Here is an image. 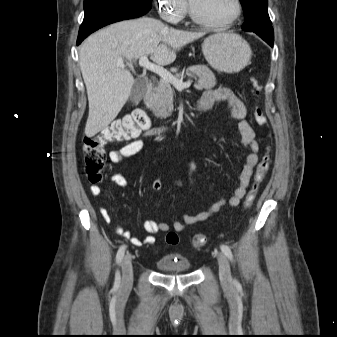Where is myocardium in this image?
Returning a JSON list of instances; mask_svg holds the SVG:
<instances>
[{
  "mask_svg": "<svg viewBox=\"0 0 337 337\" xmlns=\"http://www.w3.org/2000/svg\"><path fill=\"white\" fill-rule=\"evenodd\" d=\"M233 4H234L233 14L231 15L230 18H228L227 20L222 21V22H213V21H209V20H206V19L200 17L196 13V11H195V9H194L190 0H188V12H189L190 18L195 23H197V24H199L203 27H206V28L222 30V29H227L230 26H232L239 19V17L242 14V10H243L242 1L241 0H233Z\"/></svg>",
  "mask_w": 337,
  "mask_h": 337,
  "instance_id": "f54148a6",
  "label": "myocardium"
}]
</instances>
